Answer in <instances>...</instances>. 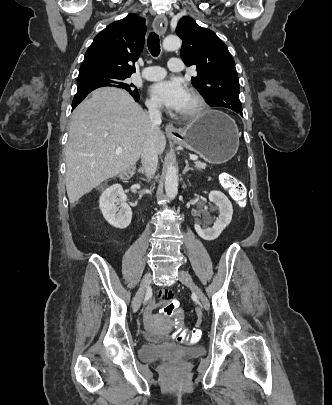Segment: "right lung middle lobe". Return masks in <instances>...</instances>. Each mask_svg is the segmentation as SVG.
<instances>
[{
    "mask_svg": "<svg viewBox=\"0 0 332 405\" xmlns=\"http://www.w3.org/2000/svg\"><path fill=\"white\" fill-rule=\"evenodd\" d=\"M129 77L130 75L108 72L78 75L77 91H83L92 87L114 86L138 94V90L134 84L127 82V78Z\"/></svg>",
    "mask_w": 332,
    "mask_h": 405,
    "instance_id": "1",
    "label": "right lung middle lobe"
}]
</instances>
